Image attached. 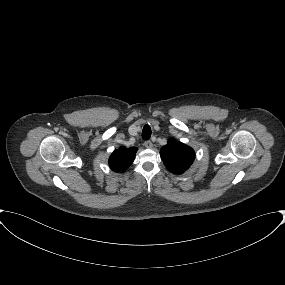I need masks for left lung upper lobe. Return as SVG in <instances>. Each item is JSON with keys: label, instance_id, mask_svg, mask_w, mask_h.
Here are the masks:
<instances>
[{"label": "left lung upper lobe", "instance_id": "obj_1", "mask_svg": "<svg viewBox=\"0 0 285 285\" xmlns=\"http://www.w3.org/2000/svg\"><path fill=\"white\" fill-rule=\"evenodd\" d=\"M166 168L174 174H182L195 159L194 150L180 141L171 138L160 150Z\"/></svg>", "mask_w": 285, "mask_h": 285}]
</instances>
